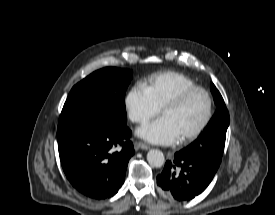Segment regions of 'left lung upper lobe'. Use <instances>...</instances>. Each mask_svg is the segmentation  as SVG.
<instances>
[{"instance_id":"left-lung-upper-lobe-1","label":"left lung upper lobe","mask_w":275,"mask_h":215,"mask_svg":"<svg viewBox=\"0 0 275 215\" xmlns=\"http://www.w3.org/2000/svg\"><path fill=\"white\" fill-rule=\"evenodd\" d=\"M211 92L217 105L214 116L198 138L181 151L184 154L220 165L230 117L224 100L213 83H211Z\"/></svg>"}]
</instances>
